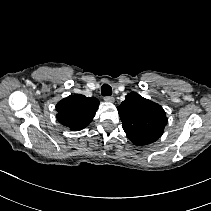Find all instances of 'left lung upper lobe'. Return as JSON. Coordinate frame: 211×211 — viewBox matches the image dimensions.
<instances>
[{
	"mask_svg": "<svg viewBox=\"0 0 211 211\" xmlns=\"http://www.w3.org/2000/svg\"><path fill=\"white\" fill-rule=\"evenodd\" d=\"M117 110L123 129L133 144L148 145L162 136L167 117L157 103L131 92Z\"/></svg>",
	"mask_w": 211,
	"mask_h": 211,
	"instance_id": "5c2ea615",
	"label": "left lung upper lobe"
}]
</instances>
